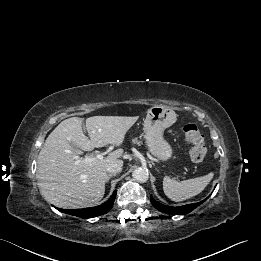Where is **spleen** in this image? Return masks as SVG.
<instances>
[{
	"label": "spleen",
	"mask_w": 261,
	"mask_h": 261,
	"mask_svg": "<svg viewBox=\"0 0 261 261\" xmlns=\"http://www.w3.org/2000/svg\"><path fill=\"white\" fill-rule=\"evenodd\" d=\"M214 173L184 181H177L165 176L163 190L165 195L175 202L192 198L201 193L213 178Z\"/></svg>",
	"instance_id": "3e777b00"
}]
</instances>
